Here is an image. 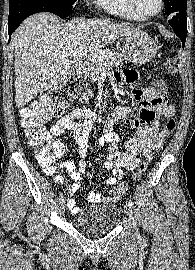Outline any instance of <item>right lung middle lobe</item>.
I'll use <instances>...</instances> for the list:
<instances>
[{"instance_id": "dd1d6c3e", "label": "right lung middle lobe", "mask_w": 195, "mask_h": 270, "mask_svg": "<svg viewBox=\"0 0 195 270\" xmlns=\"http://www.w3.org/2000/svg\"><path fill=\"white\" fill-rule=\"evenodd\" d=\"M52 5L53 13L61 18L68 17L75 9L77 0H44Z\"/></svg>"}]
</instances>
